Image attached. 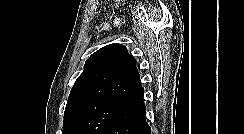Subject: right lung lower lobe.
<instances>
[{
	"instance_id": "1",
	"label": "right lung lower lobe",
	"mask_w": 244,
	"mask_h": 134,
	"mask_svg": "<svg viewBox=\"0 0 244 134\" xmlns=\"http://www.w3.org/2000/svg\"><path fill=\"white\" fill-rule=\"evenodd\" d=\"M103 134H151L143 96L134 100Z\"/></svg>"
}]
</instances>
